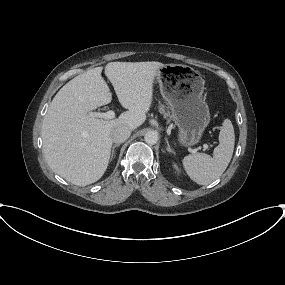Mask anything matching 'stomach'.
<instances>
[{
    "label": "stomach",
    "instance_id": "obj_1",
    "mask_svg": "<svg viewBox=\"0 0 285 285\" xmlns=\"http://www.w3.org/2000/svg\"><path fill=\"white\" fill-rule=\"evenodd\" d=\"M156 77L178 128L179 145H197L210 123L209 107L203 99L204 80L198 72L179 64L164 65Z\"/></svg>",
    "mask_w": 285,
    "mask_h": 285
}]
</instances>
